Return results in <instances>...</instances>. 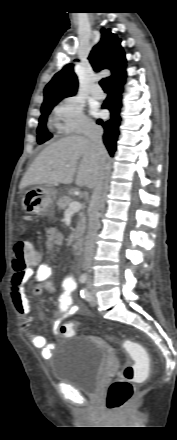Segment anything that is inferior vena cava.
<instances>
[{
  "label": "inferior vena cava",
  "mask_w": 177,
  "mask_h": 440,
  "mask_svg": "<svg viewBox=\"0 0 177 440\" xmlns=\"http://www.w3.org/2000/svg\"><path fill=\"white\" fill-rule=\"evenodd\" d=\"M102 127L89 123L85 129V135L91 141L93 148L97 151L100 156L105 153V148L102 143ZM105 163H102L99 179L94 187L91 204L89 208V223L88 232L85 241L84 249V267L90 272L91 263L95 251V240L97 236V231L100 227V209H101V197L103 193L104 175H105Z\"/></svg>",
  "instance_id": "1"
}]
</instances>
